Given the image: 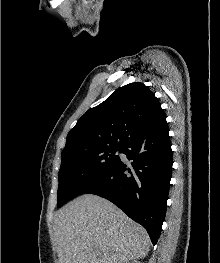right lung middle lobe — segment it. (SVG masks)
<instances>
[{
  "label": "right lung middle lobe",
  "instance_id": "dd1d6c3e",
  "mask_svg": "<svg viewBox=\"0 0 220 263\" xmlns=\"http://www.w3.org/2000/svg\"><path fill=\"white\" fill-rule=\"evenodd\" d=\"M117 151L122 152V148L106 147L63 154L58 173L57 206L61 207L81 194L87 186L100 179L117 164L120 161Z\"/></svg>",
  "mask_w": 220,
  "mask_h": 263
}]
</instances>
